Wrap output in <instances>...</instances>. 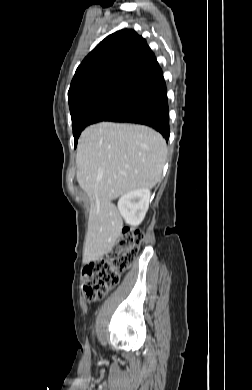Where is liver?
Instances as JSON below:
<instances>
[{"label": "liver", "instance_id": "1", "mask_svg": "<svg viewBox=\"0 0 252 390\" xmlns=\"http://www.w3.org/2000/svg\"><path fill=\"white\" fill-rule=\"evenodd\" d=\"M166 154L161 134L142 125L101 122L81 133L76 177L90 199L85 263L110 252L121 236L123 220L112 200L153 188L161 178Z\"/></svg>", "mask_w": 252, "mask_h": 390}]
</instances>
